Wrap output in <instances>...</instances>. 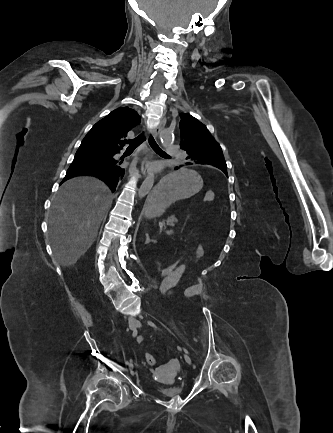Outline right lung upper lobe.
<instances>
[{
  "instance_id": "right-lung-upper-lobe-1",
  "label": "right lung upper lobe",
  "mask_w": 333,
  "mask_h": 433,
  "mask_svg": "<svg viewBox=\"0 0 333 433\" xmlns=\"http://www.w3.org/2000/svg\"><path fill=\"white\" fill-rule=\"evenodd\" d=\"M139 122L140 118L135 110L120 107L97 122L84 140L89 141L97 150L111 154L120 152L124 146L123 139Z\"/></svg>"
}]
</instances>
